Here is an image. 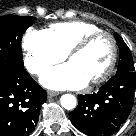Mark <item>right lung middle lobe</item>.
Returning <instances> with one entry per match:
<instances>
[{
	"instance_id": "1",
	"label": "right lung middle lobe",
	"mask_w": 136,
	"mask_h": 136,
	"mask_svg": "<svg viewBox=\"0 0 136 136\" xmlns=\"http://www.w3.org/2000/svg\"><path fill=\"white\" fill-rule=\"evenodd\" d=\"M34 21L35 18L26 16L0 17V73L24 70L21 38Z\"/></svg>"
}]
</instances>
